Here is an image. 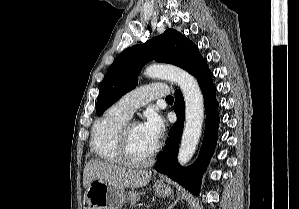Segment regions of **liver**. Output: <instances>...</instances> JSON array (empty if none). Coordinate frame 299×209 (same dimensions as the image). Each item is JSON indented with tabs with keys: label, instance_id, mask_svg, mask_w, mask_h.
<instances>
[{
	"label": "liver",
	"instance_id": "obj_1",
	"mask_svg": "<svg viewBox=\"0 0 299 209\" xmlns=\"http://www.w3.org/2000/svg\"><path fill=\"white\" fill-rule=\"evenodd\" d=\"M151 171L133 170L115 166L99 160H90L83 172V186L88 187L95 179L123 188H137L145 186L151 179Z\"/></svg>",
	"mask_w": 299,
	"mask_h": 209
}]
</instances>
